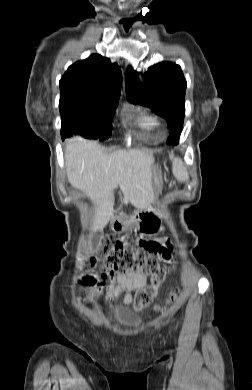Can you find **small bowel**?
Returning <instances> with one entry per match:
<instances>
[{"label": "small bowel", "instance_id": "1", "mask_svg": "<svg viewBox=\"0 0 252 390\" xmlns=\"http://www.w3.org/2000/svg\"><path fill=\"white\" fill-rule=\"evenodd\" d=\"M140 239L137 240V242ZM150 243L149 252L157 254L165 261H170L173 252V245L167 239H151L148 240ZM111 284L107 289L106 301L111 302L121 296L122 291L126 294L123 298V303L128 305L132 303L133 295L132 292L139 290L146 285L147 279L144 274L128 272V273H108Z\"/></svg>", "mask_w": 252, "mask_h": 390}]
</instances>
